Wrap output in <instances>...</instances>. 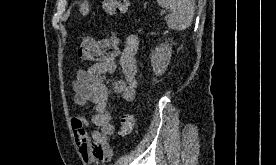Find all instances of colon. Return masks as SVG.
Listing matches in <instances>:
<instances>
[{"mask_svg":"<svg viewBox=\"0 0 276 165\" xmlns=\"http://www.w3.org/2000/svg\"><path fill=\"white\" fill-rule=\"evenodd\" d=\"M132 5V0H103L102 10L105 14L112 16L126 12ZM119 52V38L115 32L109 37L95 40L83 37L79 43L78 55L88 61L103 62L113 60ZM118 136L124 137L134 129L135 118L132 113H123L119 118Z\"/></svg>","mask_w":276,"mask_h":165,"instance_id":"colon-1","label":"colon"}]
</instances>
